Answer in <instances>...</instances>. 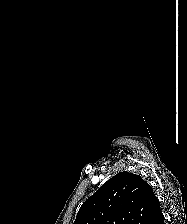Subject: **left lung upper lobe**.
<instances>
[{
	"label": "left lung upper lobe",
	"instance_id": "obj_1",
	"mask_svg": "<svg viewBox=\"0 0 187 224\" xmlns=\"http://www.w3.org/2000/svg\"><path fill=\"white\" fill-rule=\"evenodd\" d=\"M160 202L141 176L120 172L80 207L74 224H151Z\"/></svg>",
	"mask_w": 187,
	"mask_h": 224
}]
</instances>
